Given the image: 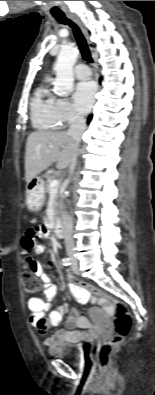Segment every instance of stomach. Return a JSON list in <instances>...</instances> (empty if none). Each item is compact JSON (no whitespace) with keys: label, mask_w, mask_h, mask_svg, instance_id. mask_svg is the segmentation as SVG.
<instances>
[{"label":"stomach","mask_w":155,"mask_h":395,"mask_svg":"<svg viewBox=\"0 0 155 395\" xmlns=\"http://www.w3.org/2000/svg\"><path fill=\"white\" fill-rule=\"evenodd\" d=\"M45 199L44 181L41 177L36 176L26 186V204L27 207L36 211L41 208Z\"/></svg>","instance_id":"0dacf381"}]
</instances>
